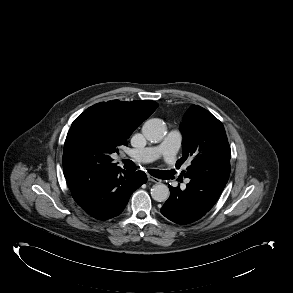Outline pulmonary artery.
<instances>
[{
    "mask_svg": "<svg viewBox=\"0 0 293 293\" xmlns=\"http://www.w3.org/2000/svg\"><path fill=\"white\" fill-rule=\"evenodd\" d=\"M181 140L180 131L172 130L159 145L135 150L131 153V158L136 162L147 163L163 157L166 162L173 164L176 160Z\"/></svg>",
    "mask_w": 293,
    "mask_h": 293,
    "instance_id": "pulmonary-artery-1",
    "label": "pulmonary artery"
}]
</instances>
